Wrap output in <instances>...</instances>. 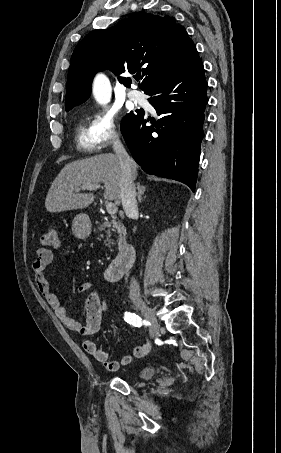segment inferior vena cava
<instances>
[{"mask_svg": "<svg viewBox=\"0 0 281 453\" xmlns=\"http://www.w3.org/2000/svg\"><path fill=\"white\" fill-rule=\"evenodd\" d=\"M114 152L119 156L120 160V188H121V202L123 204V208L129 216V218H133L135 214H138V206L136 202V190L135 184L132 180L131 176V162L132 158H130L128 152H126L121 140H119V136H115L114 144H113ZM130 299L132 301H139L141 299L140 287L139 283H137L136 279H132L130 283Z\"/></svg>", "mask_w": 281, "mask_h": 453, "instance_id": "1", "label": "inferior vena cava"}]
</instances>
